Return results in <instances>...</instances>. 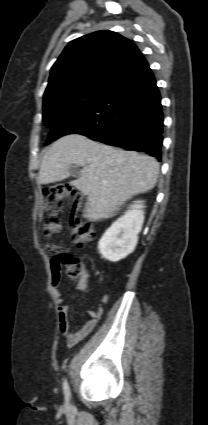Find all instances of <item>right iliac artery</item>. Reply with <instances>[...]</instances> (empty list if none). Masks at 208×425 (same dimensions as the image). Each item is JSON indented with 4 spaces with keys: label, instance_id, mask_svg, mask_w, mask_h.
Masks as SVG:
<instances>
[{
    "label": "right iliac artery",
    "instance_id": "right-iliac-artery-1",
    "mask_svg": "<svg viewBox=\"0 0 208 425\" xmlns=\"http://www.w3.org/2000/svg\"><path fill=\"white\" fill-rule=\"evenodd\" d=\"M63 390H64L65 398L68 401L70 398V389L66 379H64V382H63Z\"/></svg>",
    "mask_w": 208,
    "mask_h": 425
}]
</instances>
